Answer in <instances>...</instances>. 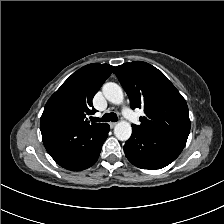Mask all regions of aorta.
<instances>
[{"mask_svg":"<svg viewBox=\"0 0 224 224\" xmlns=\"http://www.w3.org/2000/svg\"><path fill=\"white\" fill-rule=\"evenodd\" d=\"M103 94L105 98L116 105L123 103L124 95L122 88L113 82H108L103 85ZM114 134L120 141H126L132 134L131 124L125 120L119 121L114 127Z\"/></svg>","mask_w":224,"mask_h":224,"instance_id":"762f6f07","label":"aorta"}]
</instances>
